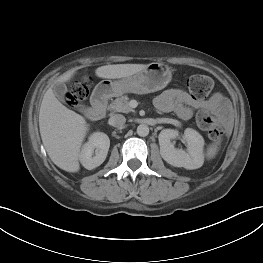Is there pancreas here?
<instances>
[{
  "label": "pancreas",
  "mask_w": 263,
  "mask_h": 263,
  "mask_svg": "<svg viewBox=\"0 0 263 263\" xmlns=\"http://www.w3.org/2000/svg\"><path fill=\"white\" fill-rule=\"evenodd\" d=\"M108 109L112 112H122V113H129L134 111L129 105L128 96H121L116 98L110 103Z\"/></svg>",
  "instance_id": "1"
}]
</instances>
